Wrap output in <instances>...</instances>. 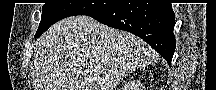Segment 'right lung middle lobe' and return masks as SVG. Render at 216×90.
Segmentation results:
<instances>
[{
	"instance_id": "1",
	"label": "right lung middle lobe",
	"mask_w": 216,
	"mask_h": 90,
	"mask_svg": "<svg viewBox=\"0 0 216 90\" xmlns=\"http://www.w3.org/2000/svg\"><path fill=\"white\" fill-rule=\"evenodd\" d=\"M109 5L110 4H44L42 7L41 21L35 38L40 37L51 25L63 18L73 15H88Z\"/></svg>"
}]
</instances>
